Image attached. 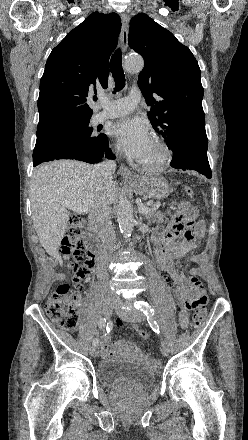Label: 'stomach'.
Here are the masks:
<instances>
[{"instance_id":"obj_1","label":"stomach","mask_w":248,"mask_h":440,"mask_svg":"<svg viewBox=\"0 0 248 440\" xmlns=\"http://www.w3.org/2000/svg\"><path fill=\"white\" fill-rule=\"evenodd\" d=\"M132 187L143 198L163 199L171 192L169 183L163 177L137 176Z\"/></svg>"}]
</instances>
